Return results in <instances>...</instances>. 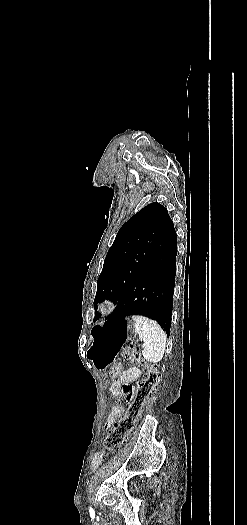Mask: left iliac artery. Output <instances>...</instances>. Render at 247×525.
<instances>
[{
  "label": "left iliac artery",
  "instance_id": "1",
  "mask_svg": "<svg viewBox=\"0 0 247 525\" xmlns=\"http://www.w3.org/2000/svg\"><path fill=\"white\" fill-rule=\"evenodd\" d=\"M93 509L90 507V511H92Z\"/></svg>",
  "mask_w": 247,
  "mask_h": 525
}]
</instances>
